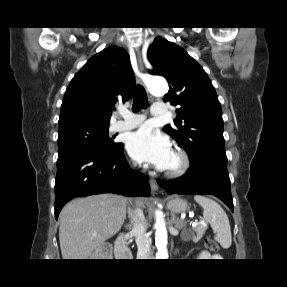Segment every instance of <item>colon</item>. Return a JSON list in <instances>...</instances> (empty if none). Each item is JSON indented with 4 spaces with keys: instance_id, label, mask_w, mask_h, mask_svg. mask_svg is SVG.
Here are the masks:
<instances>
[{
    "instance_id": "1",
    "label": "colon",
    "mask_w": 287,
    "mask_h": 287,
    "mask_svg": "<svg viewBox=\"0 0 287 287\" xmlns=\"http://www.w3.org/2000/svg\"><path fill=\"white\" fill-rule=\"evenodd\" d=\"M205 247L212 252H217L219 249L218 244L212 239L205 240Z\"/></svg>"
}]
</instances>
